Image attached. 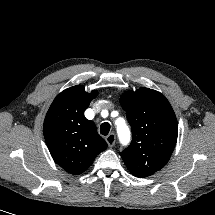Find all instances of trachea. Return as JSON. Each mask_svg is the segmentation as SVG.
Here are the masks:
<instances>
[{
  "label": "trachea",
  "mask_w": 215,
  "mask_h": 215,
  "mask_svg": "<svg viewBox=\"0 0 215 215\" xmlns=\"http://www.w3.org/2000/svg\"><path fill=\"white\" fill-rule=\"evenodd\" d=\"M110 131V124L105 122V123H102L101 126H100V133L104 136H106Z\"/></svg>",
  "instance_id": "3493384b"
}]
</instances>
